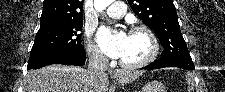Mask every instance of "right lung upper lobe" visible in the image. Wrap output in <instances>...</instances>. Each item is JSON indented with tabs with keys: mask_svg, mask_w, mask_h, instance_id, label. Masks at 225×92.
I'll list each match as a JSON object with an SVG mask.
<instances>
[{
	"mask_svg": "<svg viewBox=\"0 0 225 92\" xmlns=\"http://www.w3.org/2000/svg\"><path fill=\"white\" fill-rule=\"evenodd\" d=\"M83 0H44L42 23L83 22Z\"/></svg>",
	"mask_w": 225,
	"mask_h": 92,
	"instance_id": "1",
	"label": "right lung upper lobe"
}]
</instances>
